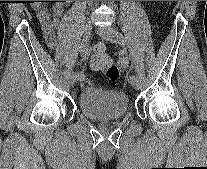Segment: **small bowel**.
Returning a JSON list of instances; mask_svg holds the SVG:
<instances>
[{
    "label": "small bowel",
    "instance_id": "c3829d8e",
    "mask_svg": "<svg viewBox=\"0 0 207 169\" xmlns=\"http://www.w3.org/2000/svg\"><path fill=\"white\" fill-rule=\"evenodd\" d=\"M62 12H63V7L59 5L55 6L53 9L54 18H52V14L46 8H39L36 10V15L40 23V28L42 31L44 41L46 45L51 49L54 48L56 45L55 30L59 26L60 23L59 17L61 16Z\"/></svg>",
    "mask_w": 207,
    "mask_h": 169
}]
</instances>
